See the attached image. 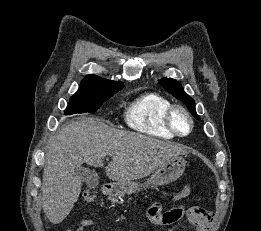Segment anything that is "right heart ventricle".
Masks as SVG:
<instances>
[{
  "instance_id": "1",
  "label": "right heart ventricle",
  "mask_w": 261,
  "mask_h": 231,
  "mask_svg": "<svg viewBox=\"0 0 261 231\" xmlns=\"http://www.w3.org/2000/svg\"><path fill=\"white\" fill-rule=\"evenodd\" d=\"M172 103L159 94L148 93L136 98L124 112L125 123L133 130L147 136L173 139L166 127L165 115Z\"/></svg>"
}]
</instances>
